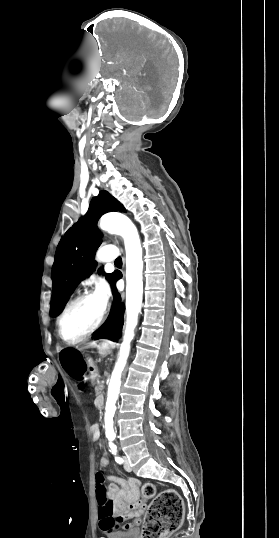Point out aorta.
<instances>
[{"label":"aorta","instance_id":"aorta-1","mask_svg":"<svg viewBox=\"0 0 279 538\" xmlns=\"http://www.w3.org/2000/svg\"><path fill=\"white\" fill-rule=\"evenodd\" d=\"M100 228L113 234L122 236L126 251V328L119 357L115 364L108 386L107 402L105 408V433L109 446L115 448L113 443L116 435L113 429V416L116 410V400L121 386V374L125 367L130 351V343L134 337V329L141 311L143 295V260L140 238L135 225L128 217L122 214L110 213L100 220Z\"/></svg>","mask_w":279,"mask_h":538}]
</instances>
